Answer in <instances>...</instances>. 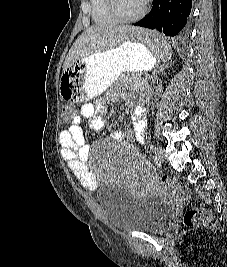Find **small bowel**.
Here are the masks:
<instances>
[{"mask_svg":"<svg viewBox=\"0 0 227 267\" xmlns=\"http://www.w3.org/2000/svg\"><path fill=\"white\" fill-rule=\"evenodd\" d=\"M104 104H84L76 113L75 119L70 120L67 129L62 130L59 134V142L61 146V155L67 162L68 167L74 172L76 178L89 191H95L98 187L99 180L96 174L90 169L86 160L89 156V147L86 143L81 125L89 120L93 130L100 131L104 128V119L100 113L104 111ZM132 138L136 142L144 141V131L146 121L144 113L140 109H136L131 116ZM115 137L120 139L124 135L122 132L115 133Z\"/></svg>","mask_w":227,"mask_h":267,"instance_id":"1","label":"small bowel"}]
</instances>
